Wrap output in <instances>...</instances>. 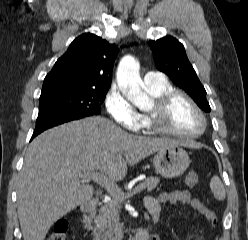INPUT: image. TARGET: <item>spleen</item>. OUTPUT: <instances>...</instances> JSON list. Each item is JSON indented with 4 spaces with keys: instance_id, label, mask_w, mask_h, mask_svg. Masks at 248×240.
<instances>
[{
    "instance_id": "spleen-1",
    "label": "spleen",
    "mask_w": 248,
    "mask_h": 240,
    "mask_svg": "<svg viewBox=\"0 0 248 240\" xmlns=\"http://www.w3.org/2000/svg\"><path fill=\"white\" fill-rule=\"evenodd\" d=\"M210 188L216 199L218 200L225 199V196H226L225 189L218 176L215 175L212 177L210 181Z\"/></svg>"
}]
</instances>
